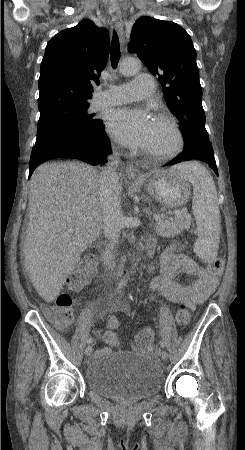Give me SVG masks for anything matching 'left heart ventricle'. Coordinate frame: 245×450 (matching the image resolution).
<instances>
[{
  "instance_id": "b2bd125f",
  "label": "left heart ventricle",
  "mask_w": 245,
  "mask_h": 450,
  "mask_svg": "<svg viewBox=\"0 0 245 450\" xmlns=\"http://www.w3.org/2000/svg\"><path fill=\"white\" fill-rule=\"evenodd\" d=\"M173 134L163 124L153 122V130L146 149H165L172 145Z\"/></svg>"
}]
</instances>
